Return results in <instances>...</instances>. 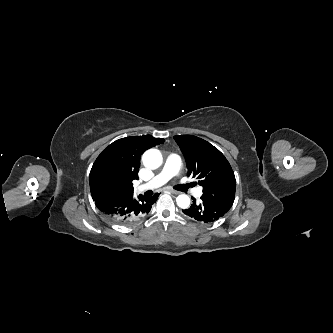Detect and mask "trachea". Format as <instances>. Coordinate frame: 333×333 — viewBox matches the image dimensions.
<instances>
[{"instance_id":"1","label":"trachea","mask_w":333,"mask_h":333,"mask_svg":"<svg viewBox=\"0 0 333 333\" xmlns=\"http://www.w3.org/2000/svg\"><path fill=\"white\" fill-rule=\"evenodd\" d=\"M191 185H177L174 187V189L178 190V191H186Z\"/></svg>"}]
</instances>
